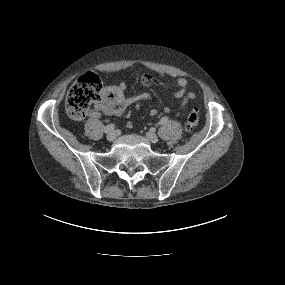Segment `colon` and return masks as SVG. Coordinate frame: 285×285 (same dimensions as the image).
Returning a JSON list of instances; mask_svg holds the SVG:
<instances>
[{
    "mask_svg": "<svg viewBox=\"0 0 285 285\" xmlns=\"http://www.w3.org/2000/svg\"><path fill=\"white\" fill-rule=\"evenodd\" d=\"M102 97V83L100 78L88 72L80 76L70 88L65 108L68 115L75 120L84 119L90 112L93 104ZM199 122L198 108L194 107L188 114L185 127L192 130Z\"/></svg>",
    "mask_w": 285,
    "mask_h": 285,
    "instance_id": "colon-1",
    "label": "colon"
}]
</instances>
